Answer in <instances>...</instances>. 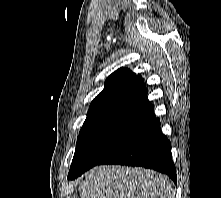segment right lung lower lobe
Returning a JSON list of instances; mask_svg holds the SVG:
<instances>
[{"mask_svg": "<svg viewBox=\"0 0 221 198\" xmlns=\"http://www.w3.org/2000/svg\"><path fill=\"white\" fill-rule=\"evenodd\" d=\"M104 164L141 166L165 173L175 183L177 181L176 169L172 161L171 143L162 134L160 121L154 116L144 122L133 136L97 165Z\"/></svg>", "mask_w": 221, "mask_h": 198, "instance_id": "98d812e1", "label": "right lung lower lobe"}]
</instances>
